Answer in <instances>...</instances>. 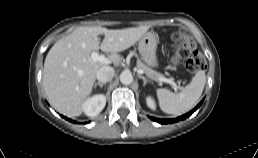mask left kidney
<instances>
[{
	"mask_svg": "<svg viewBox=\"0 0 258 158\" xmlns=\"http://www.w3.org/2000/svg\"><path fill=\"white\" fill-rule=\"evenodd\" d=\"M146 103L150 109L156 110V102L152 97L148 96L146 98Z\"/></svg>",
	"mask_w": 258,
	"mask_h": 158,
	"instance_id": "left-kidney-1",
	"label": "left kidney"
}]
</instances>
